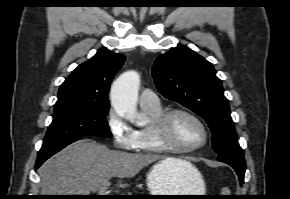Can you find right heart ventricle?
I'll return each instance as SVG.
<instances>
[{
    "label": "right heart ventricle",
    "instance_id": "obj_1",
    "mask_svg": "<svg viewBox=\"0 0 290 199\" xmlns=\"http://www.w3.org/2000/svg\"><path fill=\"white\" fill-rule=\"evenodd\" d=\"M141 108L149 117L150 123L145 127L135 130V147L133 150L138 153L146 154L164 153L165 151L155 143L151 132L152 122L164 113L163 109L161 107L156 109Z\"/></svg>",
    "mask_w": 290,
    "mask_h": 199
}]
</instances>
